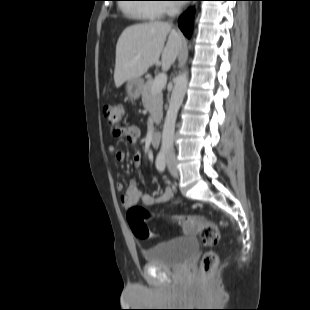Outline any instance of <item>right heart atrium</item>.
<instances>
[{
    "label": "right heart atrium",
    "instance_id": "1",
    "mask_svg": "<svg viewBox=\"0 0 310 310\" xmlns=\"http://www.w3.org/2000/svg\"><path fill=\"white\" fill-rule=\"evenodd\" d=\"M163 4H160L158 8L162 11V13H169L174 10V6L171 1L163 0Z\"/></svg>",
    "mask_w": 310,
    "mask_h": 310
}]
</instances>
